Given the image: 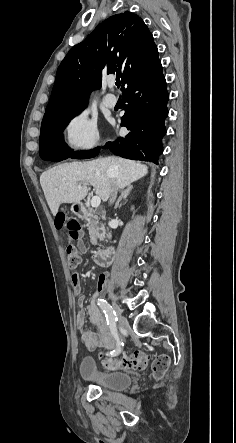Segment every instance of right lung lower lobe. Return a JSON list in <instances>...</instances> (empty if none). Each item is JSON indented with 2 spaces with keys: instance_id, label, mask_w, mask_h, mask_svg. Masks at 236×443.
<instances>
[{
  "instance_id": "1",
  "label": "right lung lower lobe",
  "mask_w": 236,
  "mask_h": 443,
  "mask_svg": "<svg viewBox=\"0 0 236 443\" xmlns=\"http://www.w3.org/2000/svg\"><path fill=\"white\" fill-rule=\"evenodd\" d=\"M125 113L121 126L130 130L125 138L107 142L103 148L124 158L158 163L162 152L161 139L166 134L164 120L168 116L169 95L160 60L148 71L131 80L123 90ZM100 148L73 152L66 144L40 150L42 159L61 161L69 157L86 159L95 157Z\"/></svg>"
}]
</instances>
